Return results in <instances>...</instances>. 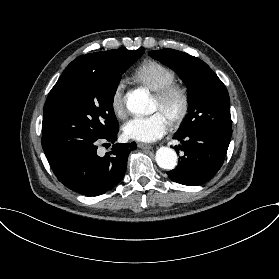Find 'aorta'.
Returning a JSON list of instances; mask_svg holds the SVG:
<instances>
[{
	"mask_svg": "<svg viewBox=\"0 0 279 279\" xmlns=\"http://www.w3.org/2000/svg\"><path fill=\"white\" fill-rule=\"evenodd\" d=\"M126 106L135 114L148 115L154 110L146 91L138 89L128 94ZM158 166L162 169L172 170L177 165L176 151L170 147H160L155 156Z\"/></svg>",
	"mask_w": 279,
	"mask_h": 279,
	"instance_id": "1",
	"label": "aorta"
}]
</instances>
